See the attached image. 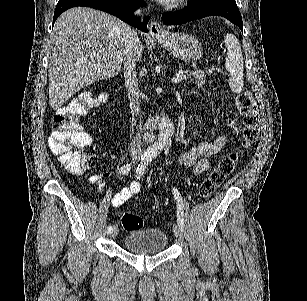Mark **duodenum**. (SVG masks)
Returning a JSON list of instances; mask_svg holds the SVG:
<instances>
[{"label": "duodenum", "instance_id": "1", "mask_svg": "<svg viewBox=\"0 0 307 301\" xmlns=\"http://www.w3.org/2000/svg\"><path fill=\"white\" fill-rule=\"evenodd\" d=\"M172 108V104H168V109L170 110ZM127 112H128V115L130 116L132 122L140 127L141 129L143 130H152L154 129L159 120H160V116L159 115H155V116H152L150 118H148L147 120L143 121V122H140L135 116L134 114L132 113V111L127 107Z\"/></svg>", "mask_w": 307, "mask_h": 301}]
</instances>
